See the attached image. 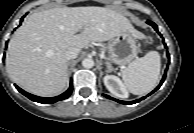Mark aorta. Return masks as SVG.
Returning <instances> with one entry per match:
<instances>
[{
  "instance_id": "obj_1",
  "label": "aorta",
  "mask_w": 194,
  "mask_h": 133,
  "mask_svg": "<svg viewBox=\"0 0 194 133\" xmlns=\"http://www.w3.org/2000/svg\"><path fill=\"white\" fill-rule=\"evenodd\" d=\"M82 65L85 68H92L94 66V60L92 58H85L82 61Z\"/></svg>"
}]
</instances>
